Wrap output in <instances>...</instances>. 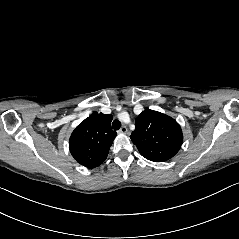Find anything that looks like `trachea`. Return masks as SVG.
Returning a JSON list of instances; mask_svg holds the SVG:
<instances>
[{
	"mask_svg": "<svg viewBox=\"0 0 239 239\" xmlns=\"http://www.w3.org/2000/svg\"><path fill=\"white\" fill-rule=\"evenodd\" d=\"M112 127L114 130H119L121 127V122L119 120H114L112 122Z\"/></svg>",
	"mask_w": 239,
	"mask_h": 239,
	"instance_id": "trachea-1",
	"label": "trachea"
}]
</instances>
